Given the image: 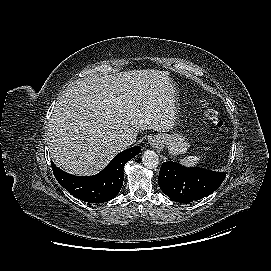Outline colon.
Masks as SVG:
<instances>
[{"label": "colon", "instance_id": "5ec220e1", "mask_svg": "<svg viewBox=\"0 0 271 271\" xmlns=\"http://www.w3.org/2000/svg\"><path fill=\"white\" fill-rule=\"evenodd\" d=\"M200 107L204 110V117L215 128L221 129L224 126V122L219 118L218 113L204 101L199 102Z\"/></svg>", "mask_w": 271, "mask_h": 271}]
</instances>
